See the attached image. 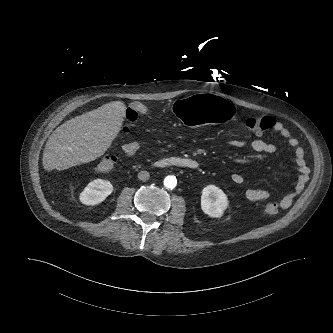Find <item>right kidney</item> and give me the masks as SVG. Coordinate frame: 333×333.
Segmentation results:
<instances>
[{
  "label": "right kidney",
  "instance_id": "obj_1",
  "mask_svg": "<svg viewBox=\"0 0 333 333\" xmlns=\"http://www.w3.org/2000/svg\"><path fill=\"white\" fill-rule=\"evenodd\" d=\"M113 192V185L103 179L91 181L80 193V201L88 206H93L104 201Z\"/></svg>",
  "mask_w": 333,
  "mask_h": 333
}]
</instances>
